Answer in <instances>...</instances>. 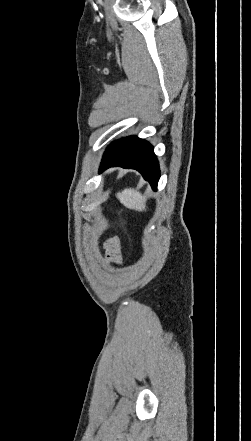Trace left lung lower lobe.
Segmentation results:
<instances>
[{"instance_id":"obj_1","label":"left lung lower lobe","mask_w":251,"mask_h":441,"mask_svg":"<svg viewBox=\"0 0 251 441\" xmlns=\"http://www.w3.org/2000/svg\"><path fill=\"white\" fill-rule=\"evenodd\" d=\"M112 166L136 169L156 190L160 177L159 164L152 145L147 141L129 136L110 144L103 155L100 172Z\"/></svg>"}]
</instances>
